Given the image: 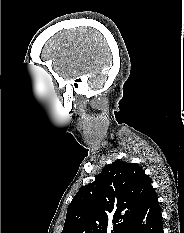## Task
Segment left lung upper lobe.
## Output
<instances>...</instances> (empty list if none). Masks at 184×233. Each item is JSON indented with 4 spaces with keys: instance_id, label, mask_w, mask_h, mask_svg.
<instances>
[{
    "instance_id": "5c2ea615",
    "label": "left lung upper lobe",
    "mask_w": 184,
    "mask_h": 233,
    "mask_svg": "<svg viewBox=\"0 0 184 233\" xmlns=\"http://www.w3.org/2000/svg\"><path fill=\"white\" fill-rule=\"evenodd\" d=\"M153 190L137 164L115 161L106 165L72 199L62 233H127Z\"/></svg>"
}]
</instances>
